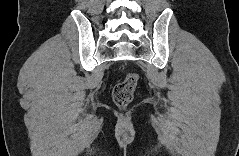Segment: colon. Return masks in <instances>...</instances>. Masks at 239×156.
<instances>
[{
  "label": "colon",
  "instance_id": "5ec220e1",
  "mask_svg": "<svg viewBox=\"0 0 239 156\" xmlns=\"http://www.w3.org/2000/svg\"><path fill=\"white\" fill-rule=\"evenodd\" d=\"M138 80L139 76L136 73H130L115 85L112 97L117 107L124 108L132 101Z\"/></svg>",
  "mask_w": 239,
  "mask_h": 156
}]
</instances>
